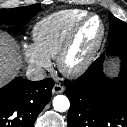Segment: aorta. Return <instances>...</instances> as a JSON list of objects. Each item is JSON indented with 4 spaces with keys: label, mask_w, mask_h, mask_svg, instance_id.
Returning <instances> with one entry per match:
<instances>
[{
    "label": "aorta",
    "mask_w": 127,
    "mask_h": 127,
    "mask_svg": "<svg viewBox=\"0 0 127 127\" xmlns=\"http://www.w3.org/2000/svg\"><path fill=\"white\" fill-rule=\"evenodd\" d=\"M53 107L58 112L67 111L70 107L69 99L65 95H57L53 99Z\"/></svg>",
    "instance_id": "aorta-1"
}]
</instances>
